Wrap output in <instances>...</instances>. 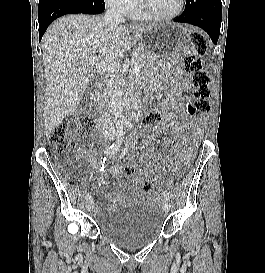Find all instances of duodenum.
<instances>
[{
    "label": "duodenum",
    "instance_id": "duodenum-1",
    "mask_svg": "<svg viewBox=\"0 0 265 273\" xmlns=\"http://www.w3.org/2000/svg\"><path fill=\"white\" fill-rule=\"evenodd\" d=\"M98 100V96H95L94 98H93V102H96ZM138 115H137V113L135 114V117H137Z\"/></svg>",
    "mask_w": 265,
    "mask_h": 273
}]
</instances>
